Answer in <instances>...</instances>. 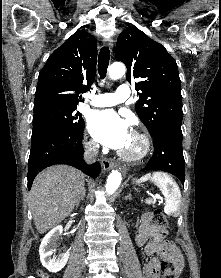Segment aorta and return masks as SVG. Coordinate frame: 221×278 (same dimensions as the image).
<instances>
[{
  "label": "aorta",
  "instance_id": "762f6f07",
  "mask_svg": "<svg viewBox=\"0 0 221 278\" xmlns=\"http://www.w3.org/2000/svg\"><path fill=\"white\" fill-rule=\"evenodd\" d=\"M125 72H126L125 65L120 62H115L109 68V77L112 80H117L123 77ZM121 181H122L121 173L118 170H113L107 179L106 192L108 194L114 193L120 186Z\"/></svg>",
  "mask_w": 221,
  "mask_h": 278
}]
</instances>
